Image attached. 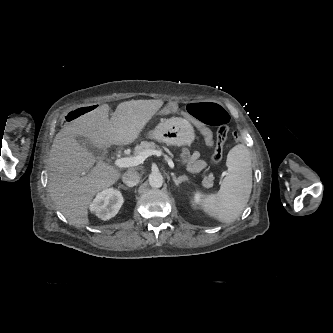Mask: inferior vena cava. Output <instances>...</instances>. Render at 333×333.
I'll return each mask as SVG.
<instances>
[{
	"label": "inferior vena cava",
	"instance_id": "1",
	"mask_svg": "<svg viewBox=\"0 0 333 333\" xmlns=\"http://www.w3.org/2000/svg\"><path fill=\"white\" fill-rule=\"evenodd\" d=\"M139 180H140V174L134 169L128 170L122 176L123 183L129 187L137 185Z\"/></svg>",
	"mask_w": 333,
	"mask_h": 333
}]
</instances>
